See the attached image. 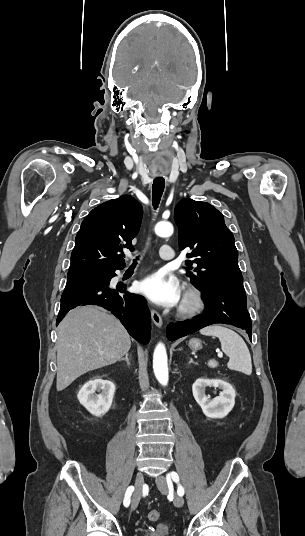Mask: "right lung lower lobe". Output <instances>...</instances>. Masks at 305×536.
Here are the masks:
<instances>
[{"label": "right lung lower lobe", "mask_w": 305, "mask_h": 536, "mask_svg": "<svg viewBox=\"0 0 305 536\" xmlns=\"http://www.w3.org/2000/svg\"><path fill=\"white\" fill-rule=\"evenodd\" d=\"M109 282H67L61 297L56 324H59L62 317L76 306L98 305L108 309L119 318L129 334L138 342L148 344L151 318L145 300L126 292L125 285L120 284L113 288L109 286Z\"/></svg>", "instance_id": "obj_1"}]
</instances>
